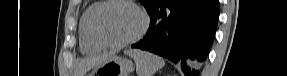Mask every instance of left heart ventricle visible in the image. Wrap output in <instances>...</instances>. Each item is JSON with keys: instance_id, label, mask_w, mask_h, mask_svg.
Instances as JSON below:
<instances>
[{"instance_id": "left-heart-ventricle-1", "label": "left heart ventricle", "mask_w": 287, "mask_h": 76, "mask_svg": "<svg viewBox=\"0 0 287 76\" xmlns=\"http://www.w3.org/2000/svg\"><path fill=\"white\" fill-rule=\"evenodd\" d=\"M142 25L139 12L125 3L106 7L98 17L97 30L108 41H121L134 36Z\"/></svg>"}]
</instances>
